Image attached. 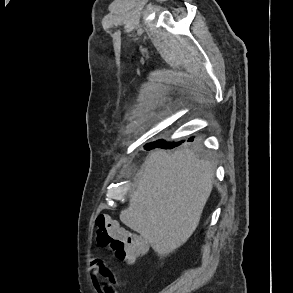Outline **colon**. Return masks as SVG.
I'll return each mask as SVG.
<instances>
[{
  "mask_svg": "<svg viewBox=\"0 0 293 293\" xmlns=\"http://www.w3.org/2000/svg\"><path fill=\"white\" fill-rule=\"evenodd\" d=\"M96 240L108 248L116 258L134 263L147 250V241L139 234L121 229L109 215L100 213L96 217Z\"/></svg>",
  "mask_w": 293,
  "mask_h": 293,
  "instance_id": "obj_1",
  "label": "colon"
}]
</instances>
